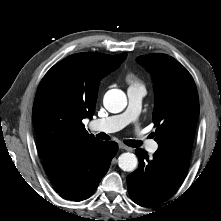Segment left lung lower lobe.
Returning a JSON list of instances; mask_svg holds the SVG:
<instances>
[{
    "label": "left lung lower lobe",
    "mask_w": 221,
    "mask_h": 221,
    "mask_svg": "<svg viewBox=\"0 0 221 221\" xmlns=\"http://www.w3.org/2000/svg\"><path fill=\"white\" fill-rule=\"evenodd\" d=\"M139 167L128 175L131 199L143 207H155L166 201L184 179L189 159L158 149L153 159L141 148L136 149Z\"/></svg>",
    "instance_id": "left-lung-lower-lobe-1"
}]
</instances>
